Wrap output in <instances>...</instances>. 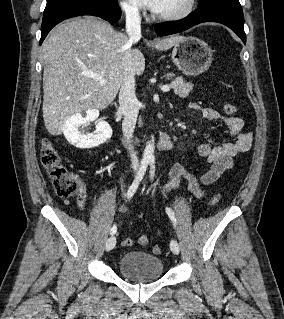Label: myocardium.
<instances>
[{"label":"myocardium","instance_id":"myocardium-1","mask_svg":"<svg viewBox=\"0 0 284 319\" xmlns=\"http://www.w3.org/2000/svg\"><path fill=\"white\" fill-rule=\"evenodd\" d=\"M195 6H196V0H187L185 7L181 9L180 11L171 13V14H165V15L154 13L153 17L154 19L158 21H163V22L179 21V20L187 18L194 11Z\"/></svg>","mask_w":284,"mask_h":319}]
</instances>
